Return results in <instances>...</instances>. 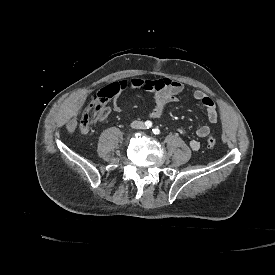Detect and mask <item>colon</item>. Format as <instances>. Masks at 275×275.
<instances>
[{
  "label": "colon",
  "mask_w": 275,
  "mask_h": 275,
  "mask_svg": "<svg viewBox=\"0 0 275 275\" xmlns=\"http://www.w3.org/2000/svg\"><path fill=\"white\" fill-rule=\"evenodd\" d=\"M108 113V105L104 103H92L84 111L80 119V127L83 131H88L91 128V124L106 117ZM209 146H213L216 143L214 136L207 138Z\"/></svg>",
  "instance_id": "obj_1"
}]
</instances>
